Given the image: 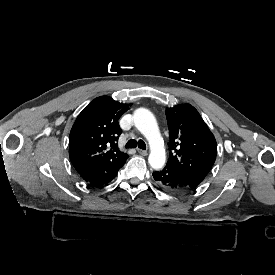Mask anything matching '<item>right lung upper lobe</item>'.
<instances>
[{"label": "right lung upper lobe", "instance_id": "obj_1", "mask_svg": "<svg viewBox=\"0 0 275 275\" xmlns=\"http://www.w3.org/2000/svg\"><path fill=\"white\" fill-rule=\"evenodd\" d=\"M128 110L109 96L95 98L78 115L70 132L69 157L79 171L104 162L122 163L129 156L118 149V120Z\"/></svg>", "mask_w": 275, "mask_h": 275}]
</instances>
